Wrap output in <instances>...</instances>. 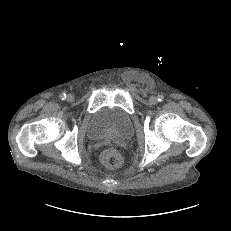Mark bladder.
<instances>
[{
  "instance_id": "bladder-1",
  "label": "bladder",
  "mask_w": 231,
  "mask_h": 231,
  "mask_svg": "<svg viewBox=\"0 0 231 231\" xmlns=\"http://www.w3.org/2000/svg\"><path fill=\"white\" fill-rule=\"evenodd\" d=\"M133 123L130 115L117 107H104L95 112L88 121L86 134L89 139L124 140L131 136Z\"/></svg>"
}]
</instances>
